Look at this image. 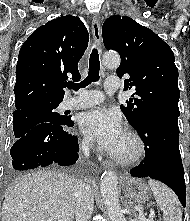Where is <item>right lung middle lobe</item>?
<instances>
[{"instance_id":"right-lung-middle-lobe-1","label":"right lung middle lobe","mask_w":190,"mask_h":221,"mask_svg":"<svg viewBox=\"0 0 190 221\" xmlns=\"http://www.w3.org/2000/svg\"><path fill=\"white\" fill-rule=\"evenodd\" d=\"M59 103L42 104L31 107L25 111L13 114V130L16 139L23 137L29 130L40 123H65L67 116L55 111Z\"/></svg>"}]
</instances>
